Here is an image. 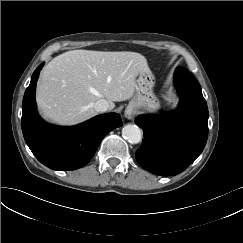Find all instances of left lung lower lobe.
Wrapping results in <instances>:
<instances>
[{
  "label": "left lung lower lobe",
  "mask_w": 243,
  "mask_h": 243,
  "mask_svg": "<svg viewBox=\"0 0 243 243\" xmlns=\"http://www.w3.org/2000/svg\"><path fill=\"white\" fill-rule=\"evenodd\" d=\"M174 78L181 97L178 108L161 116L136 118L144 132L136 160L145 170L161 176L184 171L201 154L208 136L209 114L200 84L180 66Z\"/></svg>",
  "instance_id": "obj_1"
}]
</instances>
